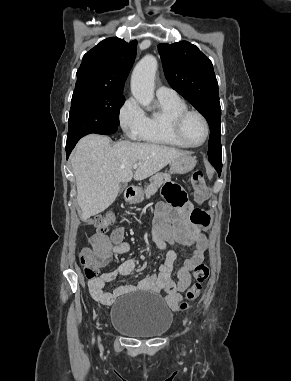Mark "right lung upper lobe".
<instances>
[{
    "label": "right lung upper lobe",
    "mask_w": 291,
    "mask_h": 381,
    "mask_svg": "<svg viewBox=\"0 0 291 381\" xmlns=\"http://www.w3.org/2000/svg\"><path fill=\"white\" fill-rule=\"evenodd\" d=\"M137 41L111 37L87 52L77 71L75 89L94 88L123 92L136 57Z\"/></svg>",
    "instance_id": "cb5924a9"
}]
</instances>
